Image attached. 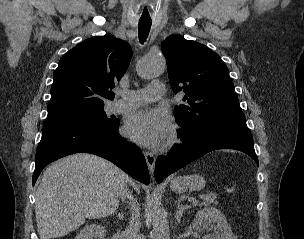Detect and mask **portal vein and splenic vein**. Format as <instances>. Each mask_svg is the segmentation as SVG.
I'll use <instances>...</instances> for the list:
<instances>
[{
	"mask_svg": "<svg viewBox=\"0 0 304 239\" xmlns=\"http://www.w3.org/2000/svg\"><path fill=\"white\" fill-rule=\"evenodd\" d=\"M202 198H205V196L203 195ZM199 203V201L197 199H192V204L195 206Z\"/></svg>",
	"mask_w": 304,
	"mask_h": 239,
	"instance_id": "obj_1",
	"label": "portal vein and splenic vein"
}]
</instances>
